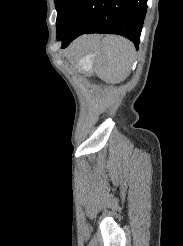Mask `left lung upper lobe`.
<instances>
[{
  "label": "left lung upper lobe",
  "mask_w": 183,
  "mask_h": 246,
  "mask_svg": "<svg viewBox=\"0 0 183 246\" xmlns=\"http://www.w3.org/2000/svg\"><path fill=\"white\" fill-rule=\"evenodd\" d=\"M54 1L57 10L56 27L58 32L64 20L66 19L75 0H54Z\"/></svg>",
  "instance_id": "1"
}]
</instances>
